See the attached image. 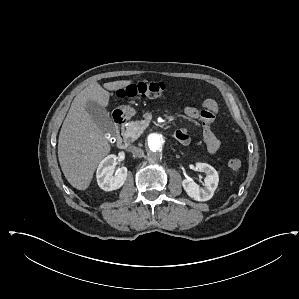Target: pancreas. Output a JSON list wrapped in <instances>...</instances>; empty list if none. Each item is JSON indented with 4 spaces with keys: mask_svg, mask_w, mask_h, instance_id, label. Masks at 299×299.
<instances>
[{
    "mask_svg": "<svg viewBox=\"0 0 299 299\" xmlns=\"http://www.w3.org/2000/svg\"><path fill=\"white\" fill-rule=\"evenodd\" d=\"M146 127V121H131L122 132V136L127 139L128 142H134L141 136Z\"/></svg>",
    "mask_w": 299,
    "mask_h": 299,
    "instance_id": "pancreas-1",
    "label": "pancreas"
}]
</instances>
